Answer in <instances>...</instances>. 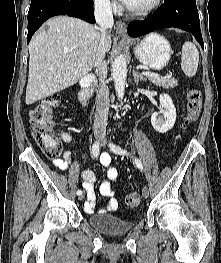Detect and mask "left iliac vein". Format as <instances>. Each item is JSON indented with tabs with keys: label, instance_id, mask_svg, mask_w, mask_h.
Instances as JSON below:
<instances>
[{
	"label": "left iliac vein",
	"instance_id": "1",
	"mask_svg": "<svg viewBox=\"0 0 221 263\" xmlns=\"http://www.w3.org/2000/svg\"><path fill=\"white\" fill-rule=\"evenodd\" d=\"M102 146H106V141L105 140L102 141ZM142 194H143V196L145 198H147L149 196V189H148V187L146 185L142 189Z\"/></svg>",
	"mask_w": 221,
	"mask_h": 263
}]
</instances>
